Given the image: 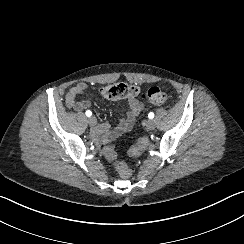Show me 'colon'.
Masks as SVG:
<instances>
[{
    "label": "colon",
    "instance_id": "obj_1",
    "mask_svg": "<svg viewBox=\"0 0 244 244\" xmlns=\"http://www.w3.org/2000/svg\"><path fill=\"white\" fill-rule=\"evenodd\" d=\"M139 90L134 84H129L125 82H117L109 86L102 87L100 89V94L107 99H117L122 96H134V94ZM143 99L152 105L167 107L170 102V97L168 93L158 87L154 86L148 89L146 95H142ZM149 147V142L146 139H141L137 144H129L126 146L125 151L127 154L139 157L141 156ZM104 155L110 160H115V149L112 146H107L104 149ZM117 169L124 178H129L132 175V170L130 166L123 163L117 164Z\"/></svg>",
    "mask_w": 244,
    "mask_h": 244
}]
</instances>
